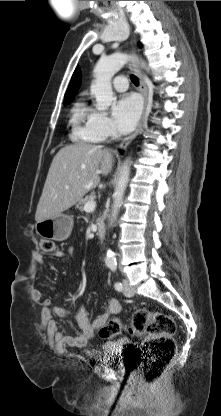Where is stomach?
<instances>
[{"instance_id":"obj_1","label":"stomach","mask_w":221,"mask_h":416,"mask_svg":"<svg viewBox=\"0 0 221 416\" xmlns=\"http://www.w3.org/2000/svg\"><path fill=\"white\" fill-rule=\"evenodd\" d=\"M35 228L37 234L43 239L64 241L72 232L73 219L61 213L53 218L37 222Z\"/></svg>"}]
</instances>
